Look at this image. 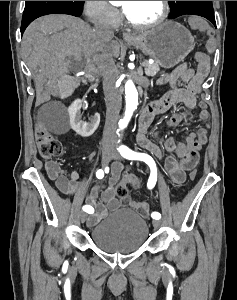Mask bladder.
<instances>
[{"mask_svg":"<svg viewBox=\"0 0 237 300\" xmlns=\"http://www.w3.org/2000/svg\"><path fill=\"white\" fill-rule=\"evenodd\" d=\"M149 225L138 213L124 209L108 216L90 229L91 241L110 253H132L147 241Z\"/></svg>","mask_w":237,"mask_h":300,"instance_id":"1","label":"bladder"}]
</instances>
